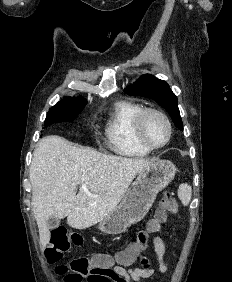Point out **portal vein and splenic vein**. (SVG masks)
Returning <instances> with one entry per match:
<instances>
[{"instance_id": "1", "label": "portal vein and splenic vein", "mask_w": 232, "mask_h": 282, "mask_svg": "<svg viewBox=\"0 0 232 282\" xmlns=\"http://www.w3.org/2000/svg\"><path fill=\"white\" fill-rule=\"evenodd\" d=\"M82 189L86 192H88L87 186L85 184L82 185Z\"/></svg>"}]
</instances>
